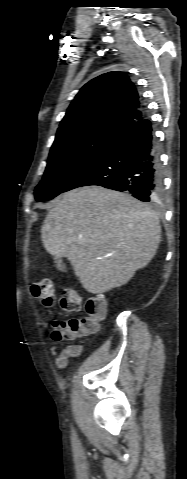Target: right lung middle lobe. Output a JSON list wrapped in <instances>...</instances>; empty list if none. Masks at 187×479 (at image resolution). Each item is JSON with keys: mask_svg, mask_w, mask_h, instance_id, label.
Masks as SVG:
<instances>
[{"mask_svg": "<svg viewBox=\"0 0 187 479\" xmlns=\"http://www.w3.org/2000/svg\"><path fill=\"white\" fill-rule=\"evenodd\" d=\"M122 133L111 126L90 125L56 135L43 179L35 189V199L50 200L63 192Z\"/></svg>", "mask_w": 187, "mask_h": 479, "instance_id": "obj_1", "label": "right lung middle lobe"}]
</instances>
